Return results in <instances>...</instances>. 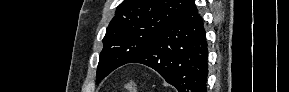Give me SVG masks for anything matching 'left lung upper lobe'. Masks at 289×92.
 I'll return each instance as SVG.
<instances>
[{
    "label": "left lung upper lobe",
    "mask_w": 289,
    "mask_h": 92,
    "mask_svg": "<svg viewBox=\"0 0 289 92\" xmlns=\"http://www.w3.org/2000/svg\"><path fill=\"white\" fill-rule=\"evenodd\" d=\"M191 0H124L103 38L97 69L101 81L145 51L174 22Z\"/></svg>",
    "instance_id": "5c2ea615"
}]
</instances>
